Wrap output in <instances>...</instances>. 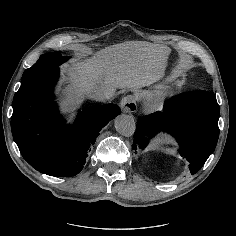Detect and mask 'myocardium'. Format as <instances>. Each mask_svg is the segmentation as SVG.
<instances>
[{
    "label": "myocardium",
    "mask_w": 236,
    "mask_h": 236,
    "mask_svg": "<svg viewBox=\"0 0 236 236\" xmlns=\"http://www.w3.org/2000/svg\"><path fill=\"white\" fill-rule=\"evenodd\" d=\"M161 98L157 97L152 100V104L156 106L160 102Z\"/></svg>",
    "instance_id": "myocardium-1"
}]
</instances>
